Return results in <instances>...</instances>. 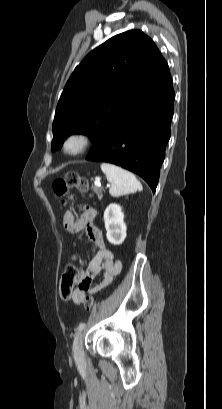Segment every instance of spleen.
<instances>
[{
	"instance_id": "obj_1",
	"label": "spleen",
	"mask_w": 222,
	"mask_h": 409,
	"mask_svg": "<svg viewBox=\"0 0 222 409\" xmlns=\"http://www.w3.org/2000/svg\"><path fill=\"white\" fill-rule=\"evenodd\" d=\"M101 170L106 174L107 180L112 183L109 193L118 197L136 191H142V185L134 174L110 163H102Z\"/></svg>"
}]
</instances>
